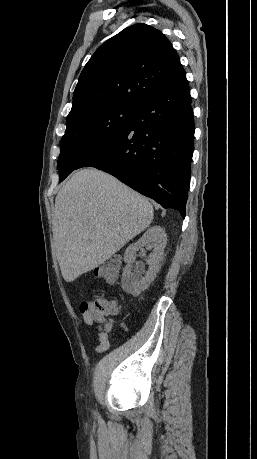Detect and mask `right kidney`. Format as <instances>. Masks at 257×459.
<instances>
[{
    "label": "right kidney",
    "instance_id": "1",
    "mask_svg": "<svg viewBox=\"0 0 257 459\" xmlns=\"http://www.w3.org/2000/svg\"><path fill=\"white\" fill-rule=\"evenodd\" d=\"M166 243L167 235L165 230L161 226H152L136 243L127 247L124 253V261L127 265L123 269L121 280V287L126 293L138 296L149 287L161 267ZM143 247H148L152 250L146 260L149 269L144 277L142 276L144 273L143 265H138L135 268V272L132 271L137 251Z\"/></svg>",
    "mask_w": 257,
    "mask_h": 459
}]
</instances>
